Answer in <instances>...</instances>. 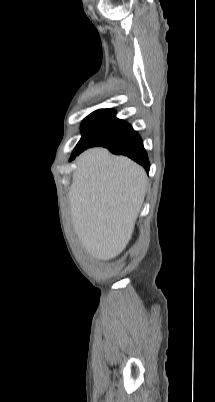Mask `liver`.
<instances>
[{
	"mask_svg": "<svg viewBox=\"0 0 215 402\" xmlns=\"http://www.w3.org/2000/svg\"><path fill=\"white\" fill-rule=\"evenodd\" d=\"M146 186L145 170L125 156L95 147L77 158L70 212L75 233L90 256L105 261L126 248Z\"/></svg>",
	"mask_w": 215,
	"mask_h": 402,
	"instance_id": "6515ba94",
	"label": "liver"
}]
</instances>
